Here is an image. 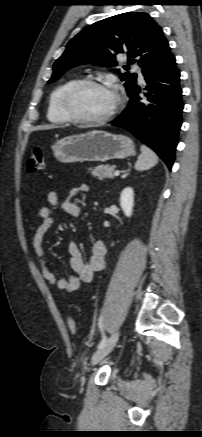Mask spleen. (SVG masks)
Listing matches in <instances>:
<instances>
[{
	"mask_svg": "<svg viewBox=\"0 0 202 437\" xmlns=\"http://www.w3.org/2000/svg\"><path fill=\"white\" fill-rule=\"evenodd\" d=\"M158 163V157L150 148L145 145L141 146V154L139 155L135 169L138 171L149 170Z\"/></svg>",
	"mask_w": 202,
	"mask_h": 437,
	"instance_id": "spleen-1",
	"label": "spleen"
}]
</instances>
